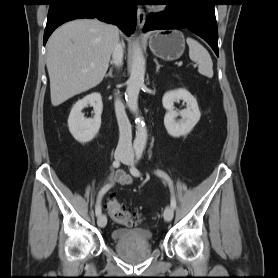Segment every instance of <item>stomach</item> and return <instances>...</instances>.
I'll use <instances>...</instances> for the list:
<instances>
[{"label": "stomach", "mask_w": 278, "mask_h": 278, "mask_svg": "<svg viewBox=\"0 0 278 278\" xmlns=\"http://www.w3.org/2000/svg\"><path fill=\"white\" fill-rule=\"evenodd\" d=\"M152 53L164 60H176L185 49V39L179 30L156 32L149 38Z\"/></svg>", "instance_id": "0dacf381"}]
</instances>
